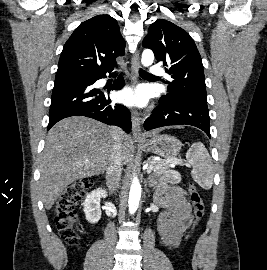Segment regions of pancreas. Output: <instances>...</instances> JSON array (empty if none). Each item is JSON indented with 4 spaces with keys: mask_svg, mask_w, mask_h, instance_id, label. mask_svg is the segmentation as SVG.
Instances as JSON below:
<instances>
[{
    "mask_svg": "<svg viewBox=\"0 0 267 270\" xmlns=\"http://www.w3.org/2000/svg\"><path fill=\"white\" fill-rule=\"evenodd\" d=\"M146 163L151 167L152 175L161 176L163 180L171 183H176L175 175L177 172L172 171L167 163L155 160L154 157L148 158Z\"/></svg>",
    "mask_w": 267,
    "mask_h": 270,
    "instance_id": "cf45deb5",
    "label": "pancreas"
}]
</instances>
